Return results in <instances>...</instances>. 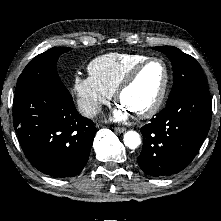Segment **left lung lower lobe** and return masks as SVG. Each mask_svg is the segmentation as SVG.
Masks as SVG:
<instances>
[{"instance_id":"1","label":"left lung lower lobe","mask_w":221,"mask_h":221,"mask_svg":"<svg viewBox=\"0 0 221 221\" xmlns=\"http://www.w3.org/2000/svg\"><path fill=\"white\" fill-rule=\"evenodd\" d=\"M207 87L187 91L141 128L140 168L148 175L169 176L183 170L201 147L211 123Z\"/></svg>"}]
</instances>
